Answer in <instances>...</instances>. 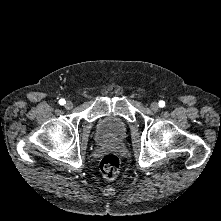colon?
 <instances>
[{
    "instance_id": "5ec220e1",
    "label": "colon",
    "mask_w": 221,
    "mask_h": 221,
    "mask_svg": "<svg viewBox=\"0 0 221 221\" xmlns=\"http://www.w3.org/2000/svg\"><path fill=\"white\" fill-rule=\"evenodd\" d=\"M120 160L114 154H106L100 161V170L103 177L107 180H113L119 173Z\"/></svg>"
}]
</instances>
